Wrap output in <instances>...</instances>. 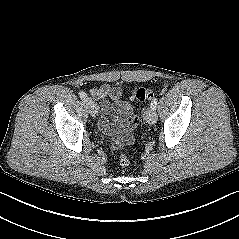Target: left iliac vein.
Listing matches in <instances>:
<instances>
[{
    "instance_id": "obj_1",
    "label": "left iliac vein",
    "mask_w": 239,
    "mask_h": 239,
    "mask_svg": "<svg viewBox=\"0 0 239 239\" xmlns=\"http://www.w3.org/2000/svg\"><path fill=\"white\" fill-rule=\"evenodd\" d=\"M144 119L149 125L155 124L157 121V114L155 109L151 107L146 109V111L144 112Z\"/></svg>"
}]
</instances>
